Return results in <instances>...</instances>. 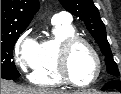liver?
<instances>
[{"instance_id":"obj_1","label":"liver","mask_w":121,"mask_h":94,"mask_svg":"<svg viewBox=\"0 0 121 94\" xmlns=\"http://www.w3.org/2000/svg\"><path fill=\"white\" fill-rule=\"evenodd\" d=\"M1 94H87L84 92L66 93L60 90L18 86L13 82L1 79Z\"/></svg>"}]
</instances>
